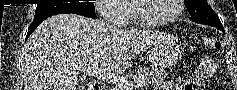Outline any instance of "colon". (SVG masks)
Returning <instances> with one entry per match:
<instances>
[{
    "instance_id": "1",
    "label": "colon",
    "mask_w": 237,
    "mask_h": 90,
    "mask_svg": "<svg viewBox=\"0 0 237 90\" xmlns=\"http://www.w3.org/2000/svg\"><path fill=\"white\" fill-rule=\"evenodd\" d=\"M214 48L219 49V43L217 41H210Z\"/></svg>"
}]
</instances>
